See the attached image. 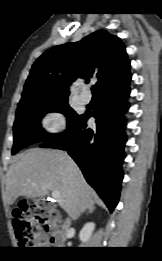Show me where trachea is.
Returning <instances> with one entry per match:
<instances>
[{"label": "trachea", "instance_id": "3493384b", "mask_svg": "<svg viewBox=\"0 0 162 261\" xmlns=\"http://www.w3.org/2000/svg\"><path fill=\"white\" fill-rule=\"evenodd\" d=\"M93 95H97V88L96 86H92L91 88Z\"/></svg>", "mask_w": 162, "mask_h": 261}]
</instances>
